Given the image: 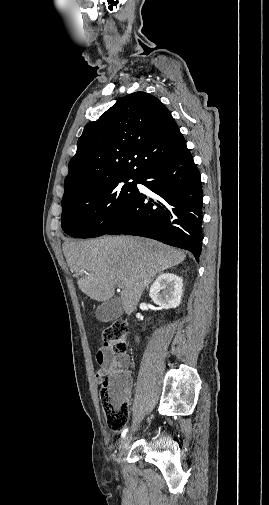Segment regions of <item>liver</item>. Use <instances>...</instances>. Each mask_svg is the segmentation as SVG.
I'll use <instances>...</instances> for the list:
<instances>
[{
    "instance_id": "obj_1",
    "label": "liver",
    "mask_w": 269,
    "mask_h": 505,
    "mask_svg": "<svg viewBox=\"0 0 269 505\" xmlns=\"http://www.w3.org/2000/svg\"><path fill=\"white\" fill-rule=\"evenodd\" d=\"M63 252L77 277L79 289L93 300L106 302L122 289L123 311H135L152 278L186 258L183 251L161 242L133 236H104L66 241Z\"/></svg>"
}]
</instances>
